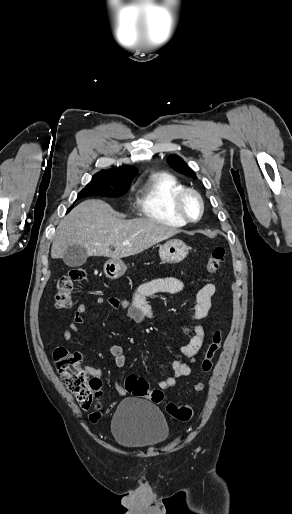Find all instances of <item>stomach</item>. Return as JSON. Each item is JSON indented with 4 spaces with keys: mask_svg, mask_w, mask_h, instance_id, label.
Wrapping results in <instances>:
<instances>
[{
    "mask_svg": "<svg viewBox=\"0 0 292 514\" xmlns=\"http://www.w3.org/2000/svg\"><path fill=\"white\" fill-rule=\"evenodd\" d=\"M187 254V246L182 240H169L159 250L160 260L165 264H178L186 258ZM126 270L127 268L120 258H113V260H108L104 264V274L106 278H111V280H117V278L123 276Z\"/></svg>",
    "mask_w": 292,
    "mask_h": 514,
    "instance_id": "1",
    "label": "stomach"
}]
</instances>
